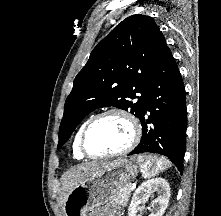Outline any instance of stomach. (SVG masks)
Segmentation results:
<instances>
[{"mask_svg": "<svg viewBox=\"0 0 221 216\" xmlns=\"http://www.w3.org/2000/svg\"><path fill=\"white\" fill-rule=\"evenodd\" d=\"M137 174V164L125 158L103 165L68 194L63 205L64 216H87L88 212L111 202Z\"/></svg>", "mask_w": 221, "mask_h": 216, "instance_id": "obj_1", "label": "stomach"}]
</instances>
